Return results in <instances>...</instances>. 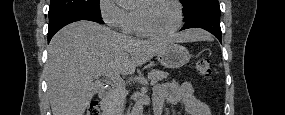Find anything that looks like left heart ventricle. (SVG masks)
<instances>
[{
  "label": "left heart ventricle",
  "instance_id": "1",
  "mask_svg": "<svg viewBox=\"0 0 285 115\" xmlns=\"http://www.w3.org/2000/svg\"><path fill=\"white\" fill-rule=\"evenodd\" d=\"M139 12L145 24L152 30L166 32L177 25V11L175 6L165 0L138 5Z\"/></svg>",
  "mask_w": 285,
  "mask_h": 115
}]
</instances>
